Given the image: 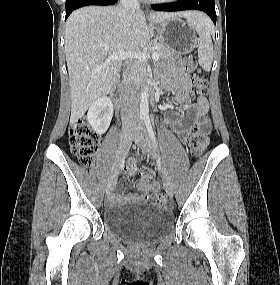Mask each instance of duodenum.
Returning a JSON list of instances; mask_svg holds the SVG:
<instances>
[{"mask_svg": "<svg viewBox=\"0 0 280 285\" xmlns=\"http://www.w3.org/2000/svg\"><path fill=\"white\" fill-rule=\"evenodd\" d=\"M126 64L129 65V62L127 61ZM119 84H120V83H119ZM152 92L155 93L154 87L152 88Z\"/></svg>", "mask_w": 280, "mask_h": 285, "instance_id": "duodenum-1", "label": "duodenum"}]
</instances>
